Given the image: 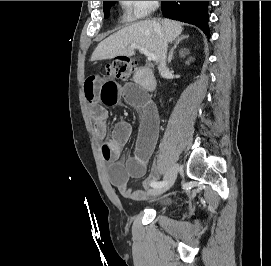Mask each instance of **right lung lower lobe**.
I'll use <instances>...</instances> for the list:
<instances>
[{"mask_svg":"<svg viewBox=\"0 0 271 266\" xmlns=\"http://www.w3.org/2000/svg\"><path fill=\"white\" fill-rule=\"evenodd\" d=\"M208 4L209 1H162L161 8L165 17L196 25L210 37Z\"/></svg>","mask_w":271,"mask_h":266,"instance_id":"right-lung-lower-lobe-1","label":"right lung lower lobe"}]
</instances>
